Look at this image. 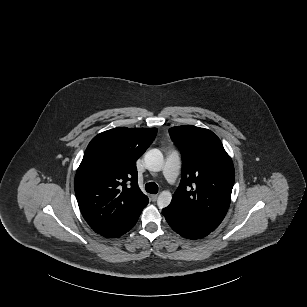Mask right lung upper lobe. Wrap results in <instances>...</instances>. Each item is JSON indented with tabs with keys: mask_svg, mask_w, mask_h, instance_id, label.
<instances>
[{
	"mask_svg": "<svg viewBox=\"0 0 307 307\" xmlns=\"http://www.w3.org/2000/svg\"><path fill=\"white\" fill-rule=\"evenodd\" d=\"M156 133V128L117 127L89 143L74 188L80 211L95 232L116 228L148 204L137 184L136 161Z\"/></svg>",
	"mask_w": 307,
	"mask_h": 307,
	"instance_id": "1",
	"label": "right lung upper lobe"
}]
</instances>
